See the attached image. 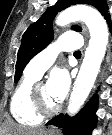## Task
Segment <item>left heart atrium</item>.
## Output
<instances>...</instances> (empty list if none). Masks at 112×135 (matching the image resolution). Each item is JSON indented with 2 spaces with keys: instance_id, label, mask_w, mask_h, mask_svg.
I'll return each instance as SVG.
<instances>
[{
  "instance_id": "1",
  "label": "left heart atrium",
  "mask_w": 112,
  "mask_h": 135,
  "mask_svg": "<svg viewBox=\"0 0 112 135\" xmlns=\"http://www.w3.org/2000/svg\"><path fill=\"white\" fill-rule=\"evenodd\" d=\"M70 86V77L63 68L55 69L51 72L47 87L51 97L60 102L66 96Z\"/></svg>"
}]
</instances>
